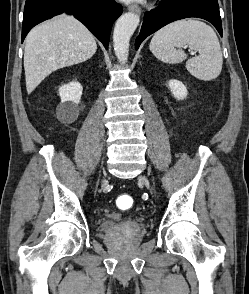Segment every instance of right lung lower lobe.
<instances>
[{
  "label": "right lung lower lobe",
  "instance_id": "98d812e1",
  "mask_svg": "<svg viewBox=\"0 0 249 294\" xmlns=\"http://www.w3.org/2000/svg\"><path fill=\"white\" fill-rule=\"evenodd\" d=\"M122 11V6L114 0H26L22 42L35 25L67 12L81 21L108 49L112 24Z\"/></svg>",
  "mask_w": 249,
  "mask_h": 294
}]
</instances>
